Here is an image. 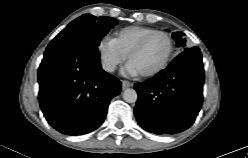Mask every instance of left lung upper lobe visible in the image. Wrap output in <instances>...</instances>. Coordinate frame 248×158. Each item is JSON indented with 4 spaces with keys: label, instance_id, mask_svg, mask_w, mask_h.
Segmentation results:
<instances>
[{
    "label": "left lung upper lobe",
    "instance_id": "5c2ea615",
    "mask_svg": "<svg viewBox=\"0 0 248 158\" xmlns=\"http://www.w3.org/2000/svg\"><path fill=\"white\" fill-rule=\"evenodd\" d=\"M183 33L175 32L172 34L174 40L176 41V45L181 47L183 50H186V39L183 37Z\"/></svg>",
    "mask_w": 248,
    "mask_h": 158
}]
</instances>
